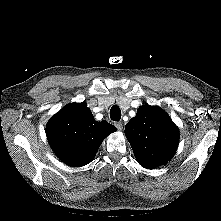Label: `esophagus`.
Masks as SVG:
<instances>
[{
    "instance_id": "obj_1",
    "label": "esophagus",
    "mask_w": 221,
    "mask_h": 221,
    "mask_svg": "<svg viewBox=\"0 0 221 221\" xmlns=\"http://www.w3.org/2000/svg\"><path fill=\"white\" fill-rule=\"evenodd\" d=\"M115 126L119 131H121L123 129V124L121 122H116Z\"/></svg>"
}]
</instances>
